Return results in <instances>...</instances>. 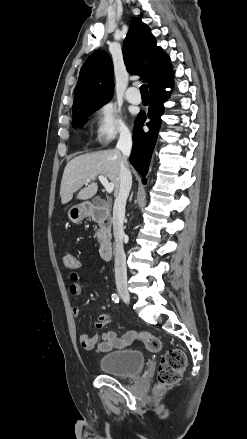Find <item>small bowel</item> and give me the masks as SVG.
I'll use <instances>...</instances> for the list:
<instances>
[{
  "label": "small bowel",
  "instance_id": "1",
  "mask_svg": "<svg viewBox=\"0 0 247 439\" xmlns=\"http://www.w3.org/2000/svg\"><path fill=\"white\" fill-rule=\"evenodd\" d=\"M70 287L69 291L72 295L78 296L83 291V282L80 279V275L77 272L70 273ZM74 317L80 315V310L78 307L72 309ZM111 323L110 313L105 312L101 314L95 321V326L97 328H103ZM136 337L134 332H128L124 336L119 337L113 331H105L99 336L98 334L89 335L87 333H82L79 336V341L82 347L86 350L95 351L98 353H106L113 349L123 348L130 345ZM99 339L101 341L99 342Z\"/></svg>",
  "mask_w": 247,
  "mask_h": 439
}]
</instances>
